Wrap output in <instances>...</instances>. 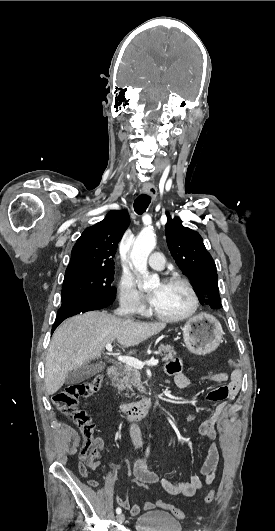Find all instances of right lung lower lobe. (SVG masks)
I'll list each match as a JSON object with an SVG mask.
<instances>
[{
    "mask_svg": "<svg viewBox=\"0 0 275 531\" xmlns=\"http://www.w3.org/2000/svg\"><path fill=\"white\" fill-rule=\"evenodd\" d=\"M107 304L91 301L83 297H66L62 299L61 307L58 310L57 317L52 327V333L57 326L66 318L79 313L106 308Z\"/></svg>",
    "mask_w": 275,
    "mask_h": 531,
    "instance_id": "1",
    "label": "right lung lower lobe"
}]
</instances>
